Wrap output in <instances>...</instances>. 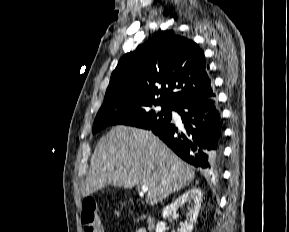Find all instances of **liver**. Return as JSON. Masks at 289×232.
I'll use <instances>...</instances> for the list:
<instances>
[{"label": "liver", "instance_id": "6515ba94", "mask_svg": "<svg viewBox=\"0 0 289 232\" xmlns=\"http://www.w3.org/2000/svg\"><path fill=\"white\" fill-rule=\"evenodd\" d=\"M194 177V169L151 131L118 126L98 142L81 193L87 197L107 185H147L146 202L155 205Z\"/></svg>", "mask_w": 289, "mask_h": 232}]
</instances>
